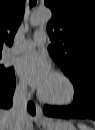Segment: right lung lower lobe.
<instances>
[{
  "label": "right lung lower lobe",
  "instance_id": "obj_1",
  "mask_svg": "<svg viewBox=\"0 0 95 130\" xmlns=\"http://www.w3.org/2000/svg\"><path fill=\"white\" fill-rule=\"evenodd\" d=\"M15 74L5 81H0V107L10 108L12 106V97L15 90ZM28 111L34 115L35 108L33 103L28 104Z\"/></svg>",
  "mask_w": 95,
  "mask_h": 130
}]
</instances>
